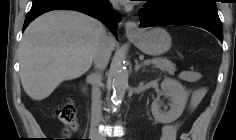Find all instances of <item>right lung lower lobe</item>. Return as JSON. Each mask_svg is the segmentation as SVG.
Returning a JSON list of instances; mask_svg holds the SVG:
<instances>
[{
	"label": "right lung lower lobe",
	"mask_w": 236,
	"mask_h": 140,
	"mask_svg": "<svg viewBox=\"0 0 236 140\" xmlns=\"http://www.w3.org/2000/svg\"><path fill=\"white\" fill-rule=\"evenodd\" d=\"M52 10H76L103 21L116 34L120 18L111 9L108 0L96 4L92 0H34L23 25V31L38 16Z\"/></svg>",
	"instance_id": "right-lung-lower-lobe-1"
}]
</instances>
